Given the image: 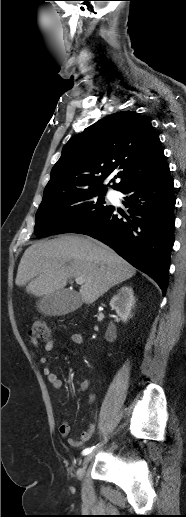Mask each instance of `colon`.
Wrapping results in <instances>:
<instances>
[{"mask_svg":"<svg viewBox=\"0 0 186 517\" xmlns=\"http://www.w3.org/2000/svg\"><path fill=\"white\" fill-rule=\"evenodd\" d=\"M31 337L36 340L48 341L51 338V331L44 320L35 318L31 326Z\"/></svg>","mask_w":186,"mask_h":517,"instance_id":"5ec220e1","label":"colon"}]
</instances>
